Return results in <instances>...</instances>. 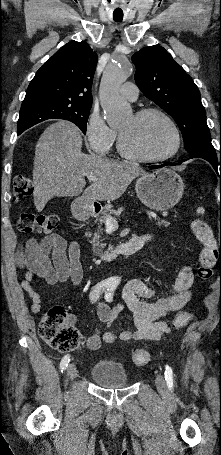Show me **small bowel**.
<instances>
[{
	"label": "small bowel",
	"instance_id": "c3829d8e",
	"mask_svg": "<svg viewBox=\"0 0 221 455\" xmlns=\"http://www.w3.org/2000/svg\"><path fill=\"white\" fill-rule=\"evenodd\" d=\"M140 237L145 244L153 239L149 234ZM80 254V246L76 241L67 245L64 238L58 234L47 235L40 241L31 238L26 242L17 261L20 266L26 268L21 288L31 299L34 311H40L41 297L32 287V281L41 278L51 286L66 283L78 286L83 278ZM193 282L194 273L190 267L185 266L179 271L172 288L166 294L156 297L155 291L143 280H129L122 291V302L110 308L105 302L100 301L96 309L98 319L106 328L128 309L132 313L135 328L123 330L119 334L109 330L102 332L97 330L89 336L88 348L96 350L101 342L112 344L117 340L161 339L171 332L164 318L181 310L187 304L191 298Z\"/></svg>",
	"mask_w": 221,
	"mask_h": 455
}]
</instances>
